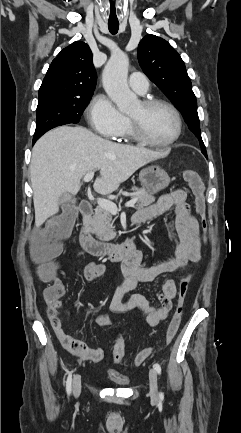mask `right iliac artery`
Returning <instances> with one entry per match:
<instances>
[{
	"instance_id": "right-iliac-artery-1",
	"label": "right iliac artery",
	"mask_w": 241,
	"mask_h": 433,
	"mask_svg": "<svg viewBox=\"0 0 241 433\" xmlns=\"http://www.w3.org/2000/svg\"><path fill=\"white\" fill-rule=\"evenodd\" d=\"M71 390H72V371L69 372L68 377H67V381H66V391H67L68 395L71 394Z\"/></svg>"
}]
</instances>
